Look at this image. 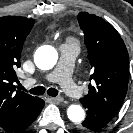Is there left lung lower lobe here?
I'll use <instances>...</instances> for the list:
<instances>
[{
	"instance_id": "left-lung-lower-lobe-1",
	"label": "left lung lower lobe",
	"mask_w": 133,
	"mask_h": 133,
	"mask_svg": "<svg viewBox=\"0 0 133 133\" xmlns=\"http://www.w3.org/2000/svg\"><path fill=\"white\" fill-rule=\"evenodd\" d=\"M82 104L87 109V117L80 125V129L84 132L101 130L116 114V112L104 110L94 104Z\"/></svg>"
}]
</instances>
